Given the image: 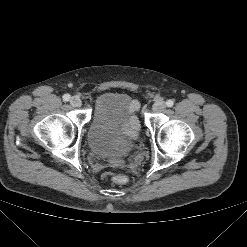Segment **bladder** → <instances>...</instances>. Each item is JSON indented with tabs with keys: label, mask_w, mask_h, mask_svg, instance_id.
Returning a JSON list of instances; mask_svg holds the SVG:
<instances>
[{
	"label": "bladder",
	"mask_w": 247,
	"mask_h": 247,
	"mask_svg": "<svg viewBox=\"0 0 247 247\" xmlns=\"http://www.w3.org/2000/svg\"><path fill=\"white\" fill-rule=\"evenodd\" d=\"M134 99L125 93L105 92L97 100V112L89 132V148L97 156L121 160L135 144L139 133V123H133L135 116ZM118 134L124 143H118L109 135Z\"/></svg>",
	"instance_id": "31cf9c89"
}]
</instances>
